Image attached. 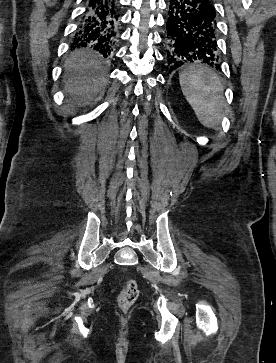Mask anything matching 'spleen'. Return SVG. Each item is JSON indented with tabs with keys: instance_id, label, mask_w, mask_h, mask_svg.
Returning <instances> with one entry per match:
<instances>
[{
	"instance_id": "obj_1",
	"label": "spleen",
	"mask_w": 276,
	"mask_h": 363,
	"mask_svg": "<svg viewBox=\"0 0 276 363\" xmlns=\"http://www.w3.org/2000/svg\"><path fill=\"white\" fill-rule=\"evenodd\" d=\"M180 86L200 123L215 129L220 124L226 105L223 85L212 69L190 65L179 74Z\"/></svg>"
}]
</instances>
